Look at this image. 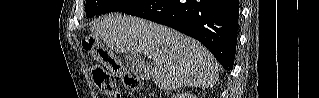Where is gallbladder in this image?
Segmentation results:
<instances>
[{"label":"gallbladder","instance_id":"bac80fb5","mask_svg":"<svg viewBox=\"0 0 319 98\" xmlns=\"http://www.w3.org/2000/svg\"><path fill=\"white\" fill-rule=\"evenodd\" d=\"M125 63L126 66L133 72L137 73L138 72V59L131 54H126L125 55Z\"/></svg>","mask_w":319,"mask_h":98}]
</instances>
